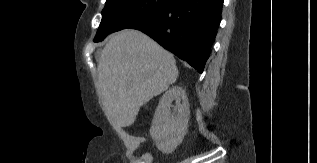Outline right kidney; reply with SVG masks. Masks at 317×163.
Returning a JSON list of instances; mask_svg holds the SVG:
<instances>
[{
  "label": "right kidney",
  "mask_w": 317,
  "mask_h": 163,
  "mask_svg": "<svg viewBox=\"0 0 317 163\" xmlns=\"http://www.w3.org/2000/svg\"><path fill=\"white\" fill-rule=\"evenodd\" d=\"M175 101L174 112H171ZM189 102L185 91L178 86L169 89L160 99L150 128V135L156 147L163 153H172L188 129Z\"/></svg>",
  "instance_id": "right-kidney-1"
}]
</instances>
